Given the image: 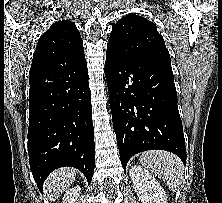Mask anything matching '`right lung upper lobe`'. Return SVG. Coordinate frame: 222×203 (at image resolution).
I'll use <instances>...</instances> for the list:
<instances>
[{"mask_svg": "<svg viewBox=\"0 0 222 203\" xmlns=\"http://www.w3.org/2000/svg\"><path fill=\"white\" fill-rule=\"evenodd\" d=\"M84 64L86 60L80 33L73 22L62 20L52 24L39 39L29 74Z\"/></svg>", "mask_w": 222, "mask_h": 203, "instance_id": "cb5924a9", "label": "right lung upper lobe"}]
</instances>
